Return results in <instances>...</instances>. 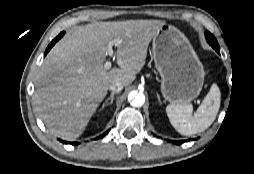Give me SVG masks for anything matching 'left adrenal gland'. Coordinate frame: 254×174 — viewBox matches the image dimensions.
Segmentation results:
<instances>
[{
  "instance_id": "obj_1",
  "label": "left adrenal gland",
  "mask_w": 254,
  "mask_h": 174,
  "mask_svg": "<svg viewBox=\"0 0 254 174\" xmlns=\"http://www.w3.org/2000/svg\"><path fill=\"white\" fill-rule=\"evenodd\" d=\"M157 98H158V102L161 104L160 96L158 93H157Z\"/></svg>"
}]
</instances>
